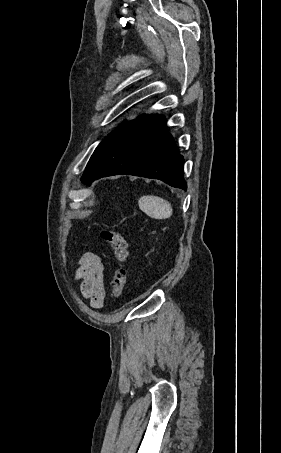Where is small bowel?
<instances>
[{
    "label": "small bowel",
    "instance_id": "c3829d8e",
    "mask_svg": "<svg viewBox=\"0 0 281 453\" xmlns=\"http://www.w3.org/2000/svg\"><path fill=\"white\" fill-rule=\"evenodd\" d=\"M103 270L101 257L88 253L82 256L76 271L77 279L80 281L81 294L89 301L93 309H101L106 297Z\"/></svg>",
    "mask_w": 281,
    "mask_h": 453
}]
</instances>
